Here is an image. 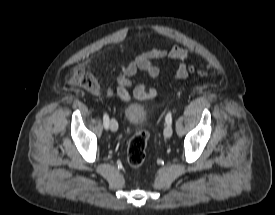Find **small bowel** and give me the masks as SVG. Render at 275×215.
<instances>
[{
  "mask_svg": "<svg viewBox=\"0 0 275 215\" xmlns=\"http://www.w3.org/2000/svg\"><path fill=\"white\" fill-rule=\"evenodd\" d=\"M192 55V51L185 49L180 44L174 45L170 51L162 48H153L139 54L126 64L120 66V72L116 78L114 88H109L107 95L109 97L117 96L121 100L128 102L131 100V95L128 92L129 88H133V96L139 100H147L157 95V90L154 87H149L143 83L134 85L133 77L138 71H142L148 78H156L161 72V67L158 63L168 57L176 64L174 77L182 79L187 76L186 60Z\"/></svg>",
  "mask_w": 275,
  "mask_h": 215,
  "instance_id": "obj_1",
  "label": "small bowel"
}]
</instances>
